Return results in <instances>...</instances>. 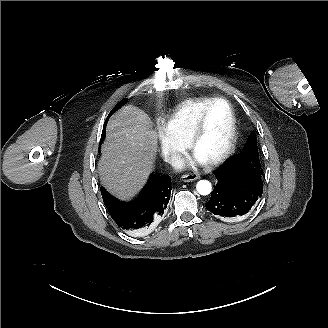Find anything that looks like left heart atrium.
Instances as JSON below:
<instances>
[{
  "mask_svg": "<svg viewBox=\"0 0 328 328\" xmlns=\"http://www.w3.org/2000/svg\"><path fill=\"white\" fill-rule=\"evenodd\" d=\"M205 160L197 155L196 153H193L191 156L187 157L185 160L180 161L176 164V167L179 169H182L186 166L188 167H194L198 164L203 163Z\"/></svg>",
  "mask_w": 328,
  "mask_h": 328,
  "instance_id": "left-heart-atrium-1",
  "label": "left heart atrium"
}]
</instances>
